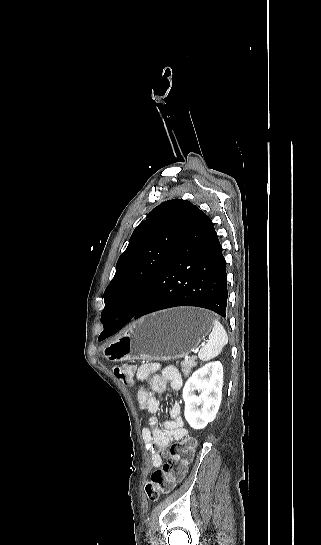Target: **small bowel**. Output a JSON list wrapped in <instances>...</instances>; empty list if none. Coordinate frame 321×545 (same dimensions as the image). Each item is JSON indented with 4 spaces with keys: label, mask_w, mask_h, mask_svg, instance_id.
Segmentation results:
<instances>
[{
    "label": "small bowel",
    "mask_w": 321,
    "mask_h": 545,
    "mask_svg": "<svg viewBox=\"0 0 321 545\" xmlns=\"http://www.w3.org/2000/svg\"><path fill=\"white\" fill-rule=\"evenodd\" d=\"M137 379L140 382L137 388V399L140 408L149 415L147 425L142 429V436L151 454L152 466L158 468L170 445L184 438L187 435V430L184 427L181 405L178 402L171 406L169 418L163 422V428L159 426L157 413L160 404L155 393H163L168 387L179 390L182 379L175 367L161 368L158 363L141 365L137 371ZM147 380H150L152 392L143 384Z\"/></svg>",
    "instance_id": "obj_1"
}]
</instances>
